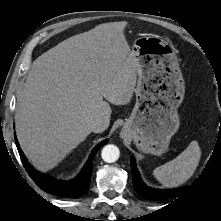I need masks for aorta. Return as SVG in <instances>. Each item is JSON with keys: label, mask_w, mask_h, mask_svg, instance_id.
Listing matches in <instances>:
<instances>
[{"label": "aorta", "mask_w": 221, "mask_h": 221, "mask_svg": "<svg viewBox=\"0 0 221 221\" xmlns=\"http://www.w3.org/2000/svg\"><path fill=\"white\" fill-rule=\"evenodd\" d=\"M119 155V148L112 144L106 145L101 152L102 159L107 163H113L117 161Z\"/></svg>", "instance_id": "1"}]
</instances>
